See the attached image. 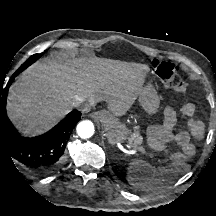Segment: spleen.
I'll use <instances>...</instances> for the list:
<instances>
[{
  "mask_svg": "<svg viewBox=\"0 0 216 216\" xmlns=\"http://www.w3.org/2000/svg\"><path fill=\"white\" fill-rule=\"evenodd\" d=\"M168 171L169 169H160L157 171L147 162L133 159L128 163L126 179L132 186L149 190L159 182H162L157 176Z\"/></svg>",
  "mask_w": 216,
  "mask_h": 216,
  "instance_id": "3e777b00",
  "label": "spleen"
}]
</instances>
